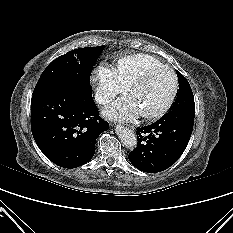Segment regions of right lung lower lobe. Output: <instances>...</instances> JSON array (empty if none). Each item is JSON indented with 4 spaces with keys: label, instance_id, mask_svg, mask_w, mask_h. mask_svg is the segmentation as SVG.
<instances>
[{
    "label": "right lung lower lobe",
    "instance_id": "98d812e1",
    "mask_svg": "<svg viewBox=\"0 0 233 233\" xmlns=\"http://www.w3.org/2000/svg\"><path fill=\"white\" fill-rule=\"evenodd\" d=\"M108 129L92 98L90 82L74 79L32 96L33 137L43 154L60 167L87 163L95 153L96 139Z\"/></svg>",
    "mask_w": 233,
    "mask_h": 233
}]
</instances>
